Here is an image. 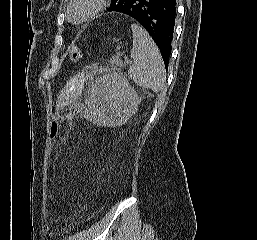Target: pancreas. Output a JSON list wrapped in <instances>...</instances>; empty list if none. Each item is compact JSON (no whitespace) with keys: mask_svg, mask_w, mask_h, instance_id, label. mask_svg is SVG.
Segmentation results:
<instances>
[{"mask_svg":"<svg viewBox=\"0 0 257 240\" xmlns=\"http://www.w3.org/2000/svg\"><path fill=\"white\" fill-rule=\"evenodd\" d=\"M110 64L112 66H114L115 69H117V70L120 69L121 67H123V63H122L121 59L118 56L112 57L110 59Z\"/></svg>","mask_w":257,"mask_h":240,"instance_id":"cf45deb5","label":"pancreas"}]
</instances>
